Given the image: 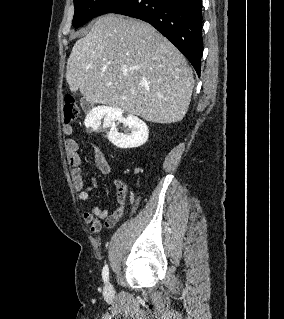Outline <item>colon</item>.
Instances as JSON below:
<instances>
[{"label":"colon","mask_w":284,"mask_h":319,"mask_svg":"<svg viewBox=\"0 0 284 319\" xmlns=\"http://www.w3.org/2000/svg\"><path fill=\"white\" fill-rule=\"evenodd\" d=\"M64 121L66 124H70L80 117V108L72 95H66L64 98Z\"/></svg>","instance_id":"1"}]
</instances>
